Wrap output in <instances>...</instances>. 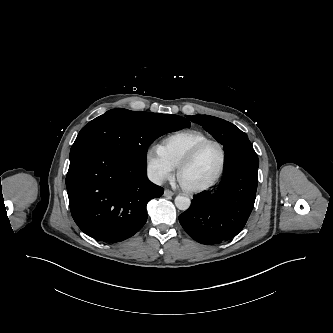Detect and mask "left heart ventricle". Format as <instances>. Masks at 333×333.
Here are the masks:
<instances>
[{
	"label": "left heart ventricle",
	"mask_w": 333,
	"mask_h": 333,
	"mask_svg": "<svg viewBox=\"0 0 333 333\" xmlns=\"http://www.w3.org/2000/svg\"><path fill=\"white\" fill-rule=\"evenodd\" d=\"M220 163V151L215 145L201 150L196 159L181 174V181L187 186H199L208 182Z\"/></svg>",
	"instance_id": "left-heart-ventricle-1"
}]
</instances>
